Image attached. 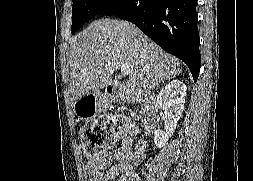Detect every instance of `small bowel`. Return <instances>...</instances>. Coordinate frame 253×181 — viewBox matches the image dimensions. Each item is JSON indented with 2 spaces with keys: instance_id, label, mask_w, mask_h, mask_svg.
Segmentation results:
<instances>
[{
  "instance_id": "1",
  "label": "small bowel",
  "mask_w": 253,
  "mask_h": 181,
  "mask_svg": "<svg viewBox=\"0 0 253 181\" xmlns=\"http://www.w3.org/2000/svg\"><path fill=\"white\" fill-rule=\"evenodd\" d=\"M145 142L124 135L121 146L111 152L101 154L87 162L85 166L89 181H127L134 167L145 158ZM115 161L114 164H111Z\"/></svg>"
}]
</instances>
